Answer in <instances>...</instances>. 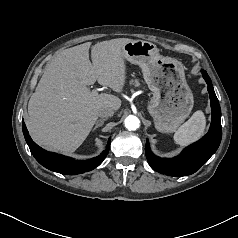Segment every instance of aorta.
I'll list each match as a JSON object with an SVG mask.
<instances>
[{"label": "aorta", "mask_w": 238, "mask_h": 238, "mask_svg": "<svg viewBox=\"0 0 238 238\" xmlns=\"http://www.w3.org/2000/svg\"><path fill=\"white\" fill-rule=\"evenodd\" d=\"M124 124L128 130L134 131L139 128L140 120L134 115H129L125 118Z\"/></svg>", "instance_id": "762f6f07"}]
</instances>
